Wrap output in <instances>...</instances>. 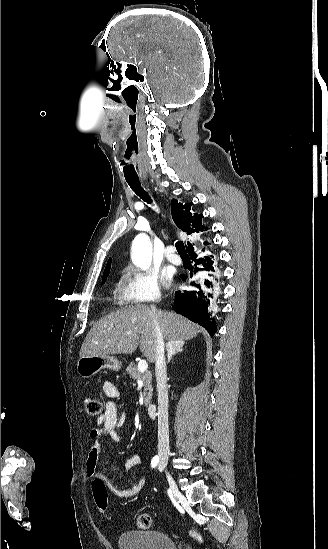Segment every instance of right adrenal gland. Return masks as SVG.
<instances>
[{
  "label": "right adrenal gland",
  "instance_id": "1",
  "mask_svg": "<svg viewBox=\"0 0 328 549\" xmlns=\"http://www.w3.org/2000/svg\"><path fill=\"white\" fill-rule=\"evenodd\" d=\"M186 343L184 341H176V343H167L166 349L168 351L167 355V363H170L172 355H175V353H181L183 351L182 347H184Z\"/></svg>",
  "mask_w": 328,
  "mask_h": 549
}]
</instances>
